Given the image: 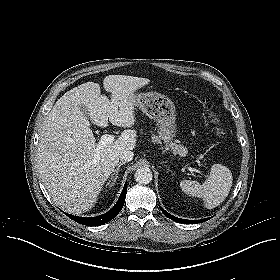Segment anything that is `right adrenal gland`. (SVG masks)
<instances>
[{
  "instance_id": "right-adrenal-gland-1",
  "label": "right adrenal gland",
  "mask_w": 280,
  "mask_h": 280,
  "mask_svg": "<svg viewBox=\"0 0 280 280\" xmlns=\"http://www.w3.org/2000/svg\"><path fill=\"white\" fill-rule=\"evenodd\" d=\"M124 164V162H120L118 163L117 167L114 169L113 173L111 174V180L112 183H108V185L113 186L116 182V180L119 178V171H120V167Z\"/></svg>"
}]
</instances>
